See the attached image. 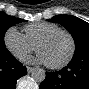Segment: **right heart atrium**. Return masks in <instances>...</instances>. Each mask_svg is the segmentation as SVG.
Listing matches in <instances>:
<instances>
[{
    "label": "right heart atrium",
    "instance_id": "1",
    "mask_svg": "<svg viewBox=\"0 0 89 89\" xmlns=\"http://www.w3.org/2000/svg\"><path fill=\"white\" fill-rule=\"evenodd\" d=\"M3 41L7 50L17 59H22L35 50V46L15 27L5 31Z\"/></svg>",
    "mask_w": 89,
    "mask_h": 89
}]
</instances>
